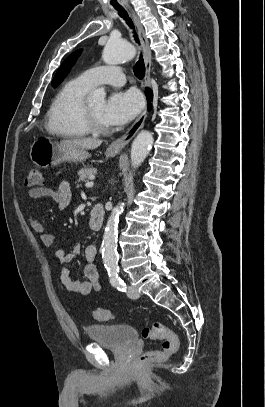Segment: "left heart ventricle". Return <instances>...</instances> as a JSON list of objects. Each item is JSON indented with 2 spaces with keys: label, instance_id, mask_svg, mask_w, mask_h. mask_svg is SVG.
<instances>
[{
  "label": "left heart ventricle",
  "instance_id": "1",
  "mask_svg": "<svg viewBox=\"0 0 265 407\" xmlns=\"http://www.w3.org/2000/svg\"><path fill=\"white\" fill-rule=\"evenodd\" d=\"M90 110L96 117L97 121L104 127H109L110 125L106 122L104 118V107H105V102L104 101H95L92 103L88 104Z\"/></svg>",
  "mask_w": 265,
  "mask_h": 407
}]
</instances>
